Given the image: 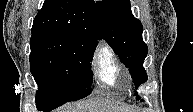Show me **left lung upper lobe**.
<instances>
[{
  "instance_id": "1",
  "label": "left lung upper lobe",
  "mask_w": 193,
  "mask_h": 112,
  "mask_svg": "<svg viewBox=\"0 0 193 112\" xmlns=\"http://www.w3.org/2000/svg\"><path fill=\"white\" fill-rule=\"evenodd\" d=\"M101 22V38L120 57L135 82V86L147 81L143 61L148 53L142 39L143 27L131 12L129 0H103L96 3ZM137 95V93H136ZM137 99L140 98L137 96Z\"/></svg>"
}]
</instances>
